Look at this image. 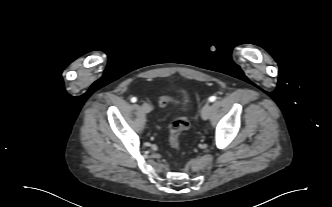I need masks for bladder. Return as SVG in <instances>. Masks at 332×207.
<instances>
[{
    "instance_id": "31cf9c89",
    "label": "bladder",
    "mask_w": 332,
    "mask_h": 207,
    "mask_svg": "<svg viewBox=\"0 0 332 207\" xmlns=\"http://www.w3.org/2000/svg\"><path fill=\"white\" fill-rule=\"evenodd\" d=\"M177 107H178V109L183 110V109H185L187 107V104H186V102L184 100H179Z\"/></svg>"
}]
</instances>
